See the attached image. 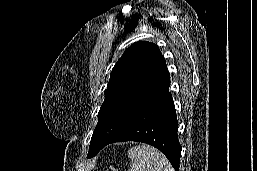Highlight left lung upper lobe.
I'll return each mask as SVG.
<instances>
[{"label":"left lung upper lobe","instance_id":"1","mask_svg":"<svg viewBox=\"0 0 257 171\" xmlns=\"http://www.w3.org/2000/svg\"><path fill=\"white\" fill-rule=\"evenodd\" d=\"M169 78L159 47L138 41L112 69L88 154L117 136Z\"/></svg>","mask_w":257,"mask_h":171}]
</instances>
